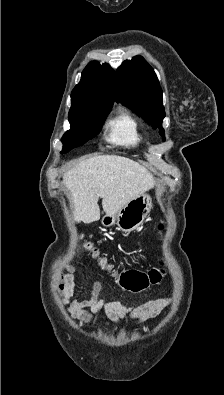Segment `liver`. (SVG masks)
<instances>
[{
  "label": "liver",
  "instance_id": "6515ba94",
  "mask_svg": "<svg viewBox=\"0 0 224 395\" xmlns=\"http://www.w3.org/2000/svg\"><path fill=\"white\" fill-rule=\"evenodd\" d=\"M155 182L144 166L119 155L86 159L63 177V183L70 191L77 223H92L100 219L99 198H102L104 212L114 215L128 202L151 189Z\"/></svg>",
  "mask_w": 224,
  "mask_h": 395
}]
</instances>
